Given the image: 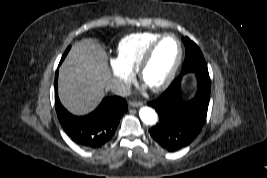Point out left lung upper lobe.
Instances as JSON below:
<instances>
[{
	"mask_svg": "<svg viewBox=\"0 0 267 178\" xmlns=\"http://www.w3.org/2000/svg\"><path fill=\"white\" fill-rule=\"evenodd\" d=\"M186 47V57L181 74L186 72L208 73V68L199 47L188 37L182 39Z\"/></svg>",
	"mask_w": 267,
	"mask_h": 178,
	"instance_id": "1",
	"label": "left lung upper lobe"
}]
</instances>
